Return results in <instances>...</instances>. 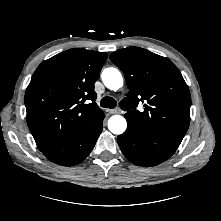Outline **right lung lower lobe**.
Here are the masks:
<instances>
[{
    "mask_svg": "<svg viewBox=\"0 0 221 221\" xmlns=\"http://www.w3.org/2000/svg\"><path fill=\"white\" fill-rule=\"evenodd\" d=\"M102 112L90 119L83 128L69 141L42 150L52 162L62 166H73L82 162L93 149L101 131L104 119Z\"/></svg>",
    "mask_w": 221,
    "mask_h": 221,
    "instance_id": "right-lung-lower-lobe-1",
    "label": "right lung lower lobe"
}]
</instances>
